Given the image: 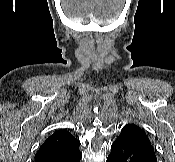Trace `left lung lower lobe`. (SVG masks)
I'll use <instances>...</instances> for the list:
<instances>
[{"label": "left lung lower lobe", "mask_w": 175, "mask_h": 162, "mask_svg": "<svg viewBox=\"0 0 175 162\" xmlns=\"http://www.w3.org/2000/svg\"><path fill=\"white\" fill-rule=\"evenodd\" d=\"M106 162H157V159L149 141L119 135Z\"/></svg>", "instance_id": "1"}]
</instances>
